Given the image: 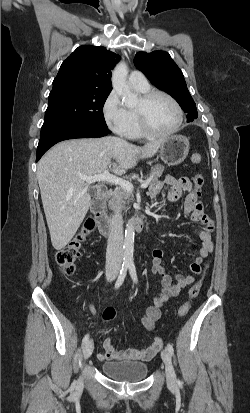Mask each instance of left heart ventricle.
<instances>
[{"label":"left heart ventricle","mask_w":250,"mask_h":413,"mask_svg":"<svg viewBox=\"0 0 250 413\" xmlns=\"http://www.w3.org/2000/svg\"><path fill=\"white\" fill-rule=\"evenodd\" d=\"M141 101L137 108L141 106ZM149 124L158 133H165L174 128L178 114L174 105L163 96H156L147 108Z\"/></svg>","instance_id":"left-heart-ventricle-1"}]
</instances>
